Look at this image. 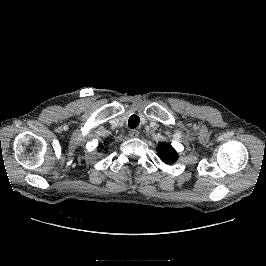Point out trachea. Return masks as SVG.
<instances>
[{"label":"trachea","instance_id":"obj_1","mask_svg":"<svg viewBox=\"0 0 266 266\" xmlns=\"http://www.w3.org/2000/svg\"><path fill=\"white\" fill-rule=\"evenodd\" d=\"M140 123V118L137 115L130 116L128 120V127L129 128H136Z\"/></svg>","mask_w":266,"mask_h":266}]
</instances>
